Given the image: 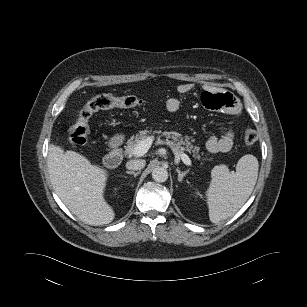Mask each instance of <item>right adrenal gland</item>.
I'll list each match as a JSON object with an SVG mask.
<instances>
[{
	"label": "right adrenal gland",
	"instance_id": "2a0ac1e0",
	"mask_svg": "<svg viewBox=\"0 0 307 307\" xmlns=\"http://www.w3.org/2000/svg\"><path fill=\"white\" fill-rule=\"evenodd\" d=\"M127 174L134 175V177L138 176L140 172H134V171H126Z\"/></svg>",
	"mask_w": 307,
	"mask_h": 307
}]
</instances>
